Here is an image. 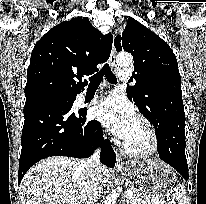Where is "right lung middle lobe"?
<instances>
[{"mask_svg":"<svg viewBox=\"0 0 206 204\" xmlns=\"http://www.w3.org/2000/svg\"><path fill=\"white\" fill-rule=\"evenodd\" d=\"M74 96L75 95H73V96H65V95H57V94H46V95H41V96H37V97L26 99V101H29V100H32V99L38 98V97L63 98V99H66V100L70 101V99H72Z\"/></svg>","mask_w":206,"mask_h":204,"instance_id":"right-lung-middle-lobe-1","label":"right lung middle lobe"}]
</instances>
